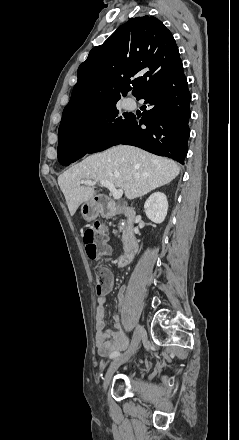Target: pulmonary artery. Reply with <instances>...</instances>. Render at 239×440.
<instances>
[{
	"instance_id": "obj_1",
	"label": "pulmonary artery",
	"mask_w": 239,
	"mask_h": 440,
	"mask_svg": "<svg viewBox=\"0 0 239 440\" xmlns=\"http://www.w3.org/2000/svg\"><path fill=\"white\" fill-rule=\"evenodd\" d=\"M123 105H124V107L126 109L132 110V109L135 108L136 102L134 100H132V99H125L124 102H123Z\"/></svg>"
}]
</instances>
